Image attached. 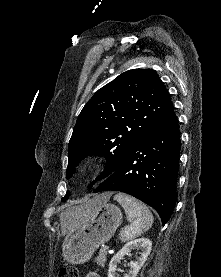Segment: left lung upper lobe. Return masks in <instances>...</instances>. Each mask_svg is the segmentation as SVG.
I'll return each instance as SVG.
<instances>
[{
  "label": "left lung upper lobe",
  "instance_id": "left-lung-upper-lobe-1",
  "mask_svg": "<svg viewBox=\"0 0 221 277\" xmlns=\"http://www.w3.org/2000/svg\"><path fill=\"white\" fill-rule=\"evenodd\" d=\"M172 107L169 92L154 70L133 69L120 74L82 109L68 145L66 178L91 154L107 159L105 170L92 184L108 177L129 149ZM68 196L69 192L62 201Z\"/></svg>",
  "mask_w": 221,
  "mask_h": 277
}]
</instances>
